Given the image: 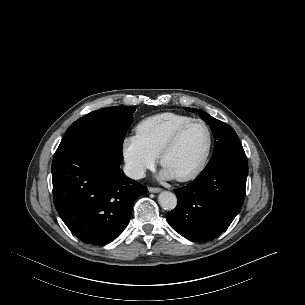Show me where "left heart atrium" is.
Segmentation results:
<instances>
[{
  "mask_svg": "<svg viewBox=\"0 0 305 305\" xmlns=\"http://www.w3.org/2000/svg\"><path fill=\"white\" fill-rule=\"evenodd\" d=\"M162 176L164 178H173L174 177V175L170 171H168L166 168H164V170L162 171Z\"/></svg>",
  "mask_w": 305,
  "mask_h": 305,
  "instance_id": "left-heart-atrium-1",
  "label": "left heart atrium"
}]
</instances>
